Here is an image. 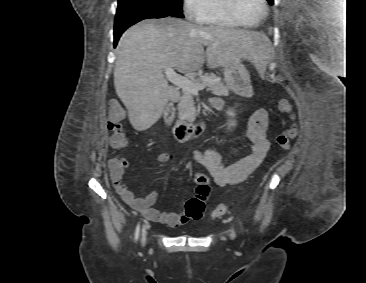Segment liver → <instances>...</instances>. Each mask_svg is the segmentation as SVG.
I'll return each instance as SVG.
<instances>
[{
	"label": "liver",
	"instance_id": "6515ba94",
	"mask_svg": "<svg viewBox=\"0 0 366 283\" xmlns=\"http://www.w3.org/2000/svg\"><path fill=\"white\" fill-rule=\"evenodd\" d=\"M264 41L255 31L201 27L172 17L133 25L120 38L114 69L116 93L128 110L131 125L146 130L163 114L170 95L165 67L195 73L205 61L214 69L245 59L258 68L264 58Z\"/></svg>",
	"mask_w": 366,
	"mask_h": 283
}]
</instances>
